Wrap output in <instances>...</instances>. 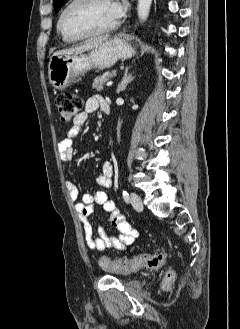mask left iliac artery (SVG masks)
I'll return each instance as SVG.
<instances>
[{"label": "left iliac artery", "mask_w": 240, "mask_h": 329, "mask_svg": "<svg viewBox=\"0 0 240 329\" xmlns=\"http://www.w3.org/2000/svg\"><path fill=\"white\" fill-rule=\"evenodd\" d=\"M122 194H123V198H124L125 202L128 203L129 202V194L125 190L123 191Z\"/></svg>", "instance_id": "left-iliac-artery-1"}]
</instances>
